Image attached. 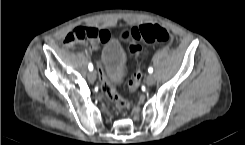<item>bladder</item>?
Returning <instances> with one entry per match:
<instances>
[{"instance_id": "bladder-1", "label": "bladder", "mask_w": 245, "mask_h": 145, "mask_svg": "<svg viewBox=\"0 0 245 145\" xmlns=\"http://www.w3.org/2000/svg\"><path fill=\"white\" fill-rule=\"evenodd\" d=\"M101 61L105 75L112 86L122 83L126 75L127 62L122 42L117 39L107 41L101 52Z\"/></svg>"}]
</instances>
